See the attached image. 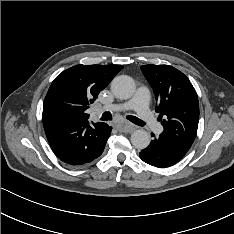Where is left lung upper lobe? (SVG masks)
Wrapping results in <instances>:
<instances>
[{
	"label": "left lung upper lobe",
	"instance_id": "5c2ea615",
	"mask_svg": "<svg viewBox=\"0 0 234 234\" xmlns=\"http://www.w3.org/2000/svg\"><path fill=\"white\" fill-rule=\"evenodd\" d=\"M141 70L153 88L162 133L188 151L199 122V102L190 80L169 65H143Z\"/></svg>",
	"mask_w": 234,
	"mask_h": 234
}]
</instances>
